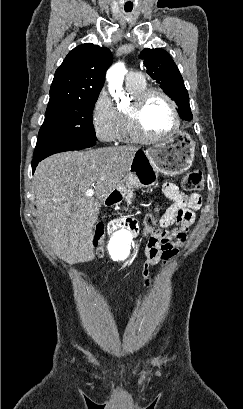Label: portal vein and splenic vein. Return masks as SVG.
<instances>
[{"label":"portal vein and splenic vein","mask_w":243,"mask_h":409,"mask_svg":"<svg viewBox=\"0 0 243 409\" xmlns=\"http://www.w3.org/2000/svg\"><path fill=\"white\" fill-rule=\"evenodd\" d=\"M85 195H86L87 197H92V196L94 195V189L91 188V189L87 190L86 193H85Z\"/></svg>","instance_id":"portal-vein-and-splenic-vein-1"}]
</instances>
